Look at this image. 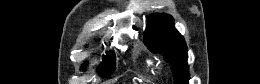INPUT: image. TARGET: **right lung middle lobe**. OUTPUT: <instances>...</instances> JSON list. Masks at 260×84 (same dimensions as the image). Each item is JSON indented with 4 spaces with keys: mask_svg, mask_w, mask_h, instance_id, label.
<instances>
[{
    "mask_svg": "<svg viewBox=\"0 0 260 84\" xmlns=\"http://www.w3.org/2000/svg\"><path fill=\"white\" fill-rule=\"evenodd\" d=\"M115 55L111 52L107 56L103 57V63L99 67V72L105 77H109L114 71L115 66Z\"/></svg>",
    "mask_w": 260,
    "mask_h": 84,
    "instance_id": "obj_1",
    "label": "right lung middle lobe"
}]
</instances>
